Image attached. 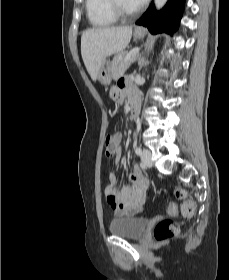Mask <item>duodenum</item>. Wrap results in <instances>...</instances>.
<instances>
[{"label":"duodenum","mask_w":229,"mask_h":280,"mask_svg":"<svg viewBox=\"0 0 229 280\" xmlns=\"http://www.w3.org/2000/svg\"><path fill=\"white\" fill-rule=\"evenodd\" d=\"M129 106L133 119H136L140 112V98L137 93L133 92L130 94Z\"/></svg>","instance_id":"obj_1"}]
</instances>
